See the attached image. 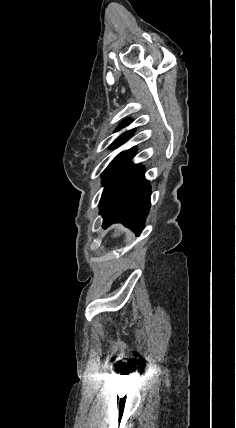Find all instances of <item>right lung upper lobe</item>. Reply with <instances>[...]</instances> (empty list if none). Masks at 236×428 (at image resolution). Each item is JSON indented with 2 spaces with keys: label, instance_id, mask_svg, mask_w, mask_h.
Listing matches in <instances>:
<instances>
[{
  "label": "right lung upper lobe",
  "instance_id": "1",
  "mask_svg": "<svg viewBox=\"0 0 236 428\" xmlns=\"http://www.w3.org/2000/svg\"><path fill=\"white\" fill-rule=\"evenodd\" d=\"M130 122H131V120L130 119H128V120H125L123 123H121V125L119 126V128L118 129H121V128H123V127H125V126H127V125H129L130 124ZM133 132H134V130H130V131H127V132H125L124 134H122L121 136H119L112 144H111V148H116V147H118L119 145H121V144H123V143H125L126 141H127V139L128 138H130L131 136H132V134H133Z\"/></svg>",
  "mask_w": 236,
  "mask_h": 428
}]
</instances>
